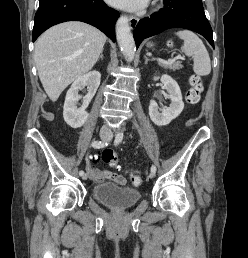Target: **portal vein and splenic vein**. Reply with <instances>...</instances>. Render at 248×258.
<instances>
[{
	"instance_id": "obj_1",
	"label": "portal vein and splenic vein",
	"mask_w": 248,
	"mask_h": 258,
	"mask_svg": "<svg viewBox=\"0 0 248 258\" xmlns=\"http://www.w3.org/2000/svg\"><path fill=\"white\" fill-rule=\"evenodd\" d=\"M156 59H157V61L162 62V63H169V62H174L177 59H182V57L180 55H178L174 59H169L168 61L163 60L161 58H156Z\"/></svg>"
}]
</instances>
